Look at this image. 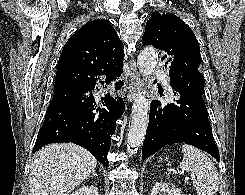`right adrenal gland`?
Listing matches in <instances>:
<instances>
[{
  "instance_id": "right-adrenal-gland-1",
  "label": "right adrenal gland",
  "mask_w": 245,
  "mask_h": 195,
  "mask_svg": "<svg viewBox=\"0 0 245 195\" xmlns=\"http://www.w3.org/2000/svg\"><path fill=\"white\" fill-rule=\"evenodd\" d=\"M97 176H98V175H97L96 172H93L92 175H91V177H97Z\"/></svg>"
}]
</instances>
